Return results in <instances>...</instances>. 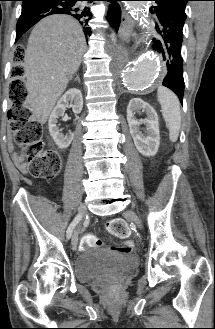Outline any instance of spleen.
Wrapping results in <instances>:
<instances>
[{
  "label": "spleen",
  "instance_id": "3e777b00",
  "mask_svg": "<svg viewBox=\"0 0 215 329\" xmlns=\"http://www.w3.org/2000/svg\"><path fill=\"white\" fill-rule=\"evenodd\" d=\"M157 98L162 108L163 118L169 129V139L172 142H176L181 127L179 100L172 91L162 86L157 90Z\"/></svg>",
  "mask_w": 215,
  "mask_h": 329
}]
</instances>
